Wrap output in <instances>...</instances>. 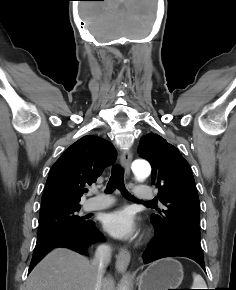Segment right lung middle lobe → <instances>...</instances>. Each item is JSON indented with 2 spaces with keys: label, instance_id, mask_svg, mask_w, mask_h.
<instances>
[{
  "label": "right lung middle lobe",
  "instance_id": "dd1d6c3e",
  "mask_svg": "<svg viewBox=\"0 0 236 290\" xmlns=\"http://www.w3.org/2000/svg\"><path fill=\"white\" fill-rule=\"evenodd\" d=\"M79 209L80 205L40 211L38 236L87 225L90 221L84 220V217L77 214Z\"/></svg>",
  "mask_w": 236,
  "mask_h": 290
}]
</instances>
